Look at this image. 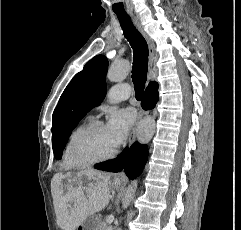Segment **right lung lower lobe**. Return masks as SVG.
<instances>
[{"label":"right lung lower lobe","instance_id":"1","mask_svg":"<svg viewBox=\"0 0 241 230\" xmlns=\"http://www.w3.org/2000/svg\"><path fill=\"white\" fill-rule=\"evenodd\" d=\"M158 99V84L157 82H150L145 90L141 106L144 110L153 109Z\"/></svg>","mask_w":241,"mask_h":230}]
</instances>
